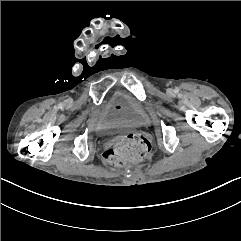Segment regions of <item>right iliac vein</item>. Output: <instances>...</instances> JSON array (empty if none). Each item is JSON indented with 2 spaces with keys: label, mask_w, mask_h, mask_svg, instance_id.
Segmentation results:
<instances>
[{
  "label": "right iliac vein",
  "mask_w": 241,
  "mask_h": 241,
  "mask_svg": "<svg viewBox=\"0 0 241 241\" xmlns=\"http://www.w3.org/2000/svg\"><path fill=\"white\" fill-rule=\"evenodd\" d=\"M66 105H69V101H67V104Z\"/></svg>",
  "instance_id": "obj_1"
}]
</instances>
